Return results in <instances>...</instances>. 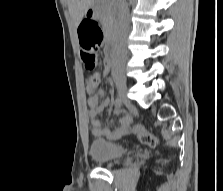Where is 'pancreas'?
Returning <instances> with one entry per match:
<instances>
[{
    "mask_svg": "<svg viewBox=\"0 0 223 191\" xmlns=\"http://www.w3.org/2000/svg\"><path fill=\"white\" fill-rule=\"evenodd\" d=\"M100 18L105 31H109L114 22V11L109 3H101L99 6Z\"/></svg>",
    "mask_w": 223,
    "mask_h": 191,
    "instance_id": "cf45deb5",
    "label": "pancreas"
}]
</instances>
